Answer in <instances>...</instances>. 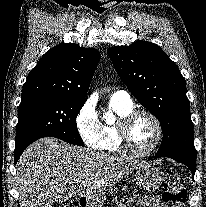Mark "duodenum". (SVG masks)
I'll list each match as a JSON object with an SVG mask.
<instances>
[{
  "mask_svg": "<svg viewBox=\"0 0 206 207\" xmlns=\"http://www.w3.org/2000/svg\"><path fill=\"white\" fill-rule=\"evenodd\" d=\"M76 207H84V205H83L81 202H78V203L76 204Z\"/></svg>",
  "mask_w": 206,
  "mask_h": 207,
  "instance_id": "1",
  "label": "duodenum"
}]
</instances>
